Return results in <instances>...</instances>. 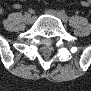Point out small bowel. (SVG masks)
I'll return each instance as SVG.
<instances>
[{
    "label": "small bowel",
    "instance_id": "small-bowel-1",
    "mask_svg": "<svg viewBox=\"0 0 91 91\" xmlns=\"http://www.w3.org/2000/svg\"><path fill=\"white\" fill-rule=\"evenodd\" d=\"M83 6L87 7V6H89V3L88 2H84Z\"/></svg>",
    "mask_w": 91,
    "mask_h": 91
}]
</instances>
